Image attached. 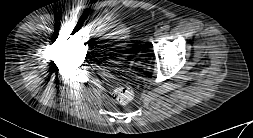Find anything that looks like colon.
<instances>
[{
	"label": "colon",
	"mask_w": 253,
	"mask_h": 138,
	"mask_svg": "<svg viewBox=\"0 0 253 138\" xmlns=\"http://www.w3.org/2000/svg\"><path fill=\"white\" fill-rule=\"evenodd\" d=\"M133 89L130 86H120L113 92V99L119 104H127L133 99Z\"/></svg>",
	"instance_id": "colon-1"
}]
</instances>
